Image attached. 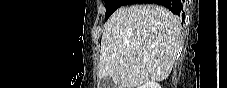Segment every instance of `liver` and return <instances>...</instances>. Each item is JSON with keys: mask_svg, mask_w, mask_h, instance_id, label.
Segmentation results:
<instances>
[{"mask_svg": "<svg viewBox=\"0 0 227 88\" xmlns=\"http://www.w3.org/2000/svg\"><path fill=\"white\" fill-rule=\"evenodd\" d=\"M179 21L167 8L135 4L116 10L101 39L99 76L118 88L165 80L180 47Z\"/></svg>", "mask_w": 227, "mask_h": 88, "instance_id": "1", "label": "liver"}]
</instances>
